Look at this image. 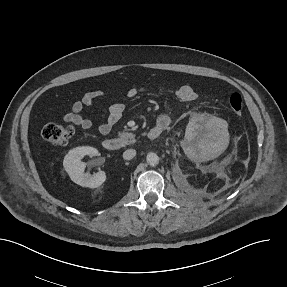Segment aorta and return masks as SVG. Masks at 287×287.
I'll return each mask as SVG.
<instances>
[{
	"label": "aorta",
	"instance_id": "762f6f07",
	"mask_svg": "<svg viewBox=\"0 0 287 287\" xmlns=\"http://www.w3.org/2000/svg\"><path fill=\"white\" fill-rule=\"evenodd\" d=\"M147 163L151 166H155L159 163V157L156 153L150 152L146 157Z\"/></svg>",
	"mask_w": 287,
	"mask_h": 287
}]
</instances>
